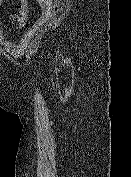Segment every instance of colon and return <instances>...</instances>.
Instances as JSON below:
<instances>
[{
	"mask_svg": "<svg viewBox=\"0 0 131 177\" xmlns=\"http://www.w3.org/2000/svg\"><path fill=\"white\" fill-rule=\"evenodd\" d=\"M29 14V7H28V1L27 0H20L18 5V10L11 13L10 15V21L12 24V27L15 30H19L27 22Z\"/></svg>",
	"mask_w": 131,
	"mask_h": 177,
	"instance_id": "5ec220e1",
	"label": "colon"
}]
</instances>
